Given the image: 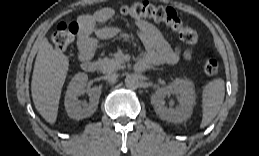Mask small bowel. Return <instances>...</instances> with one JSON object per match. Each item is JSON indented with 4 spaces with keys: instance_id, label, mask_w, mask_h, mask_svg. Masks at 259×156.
<instances>
[{
    "instance_id": "obj_1",
    "label": "small bowel",
    "mask_w": 259,
    "mask_h": 156,
    "mask_svg": "<svg viewBox=\"0 0 259 156\" xmlns=\"http://www.w3.org/2000/svg\"><path fill=\"white\" fill-rule=\"evenodd\" d=\"M113 16L114 10L112 8L103 7L79 17L78 46L83 55L94 52L98 39L117 33L114 28L102 26ZM134 24L138 30V36L146 49V53L140 61L145 67L163 63L174 64L181 58L186 60L192 58L193 51L191 48L181 50L180 47H172L153 24L141 19L136 20Z\"/></svg>"
}]
</instances>
